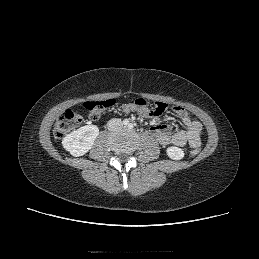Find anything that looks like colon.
<instances>
[{
    "instance_id": "obj_1",
    "label": "colon",
    "mask_w": 259,
    "mask_h": 259,
    "mask_svg": "<svg viewBox=\"0 0 259 259\" xmlns=\"http://www.w3.org/2000/svg\"><path fill=\"white\" fill-rule=\"evenodd\" d=\"M115 100H97V101H88L84 103V108L87 110L90 119L97 120L104 113H106L113 105ZM167 108V105L164 103H155L153 106H149L147 101L143 98H138L132 103L124 104L122 110L124 112L138 111L142 115L149 117H159L161 116ZM83 122L82 117L79 113L73 110H66L56 121L54 126V136L58 139L66 136L70 131L81 126ZM192 156H196L199 153L198 148H193L190 151Z\"/></svg>"
}]
</instances>
